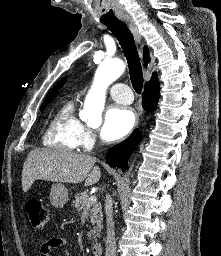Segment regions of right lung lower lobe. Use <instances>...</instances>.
<instances>
[{"label":"right lung lower lobe","mask_w":221,"mask_h":256,"mask_svg":"<svg viewBox=\"0 0 221 256\" xmlns=\"http://www.w3.org/2000/svg\"><path fill=\"white\" fill-rule=\"evenodd\" d=\"M159 99V86L145 87L142 95V106L145 110H153ZM141 138V132L135 129L123 142L112 147L106 155V161L112 168L128 169V159Z\"/></svg>","instance_id":"1"}]
</instances>
